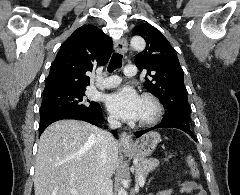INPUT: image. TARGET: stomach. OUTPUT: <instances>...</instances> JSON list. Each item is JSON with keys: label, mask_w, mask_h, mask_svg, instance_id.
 Masks as SVG:
<instances>
[{"label": "stomach", "mask_w": 240, "mask_h": 195, "mask_svg": "<svg viewBox=\"0 0 240 195\" xmlns=\"http://www.w3.org/2000/svg\"><path fill=\"white\" fill-rule=\"evenodd\" d=\"M159 141H161V135L158 131H148L136 139L133 145L123 147V149L128 155H134L138 159H149L148 155H151L152 151L156 149Z\"/></svg>", "instance_id": "1"}]
</instances>
